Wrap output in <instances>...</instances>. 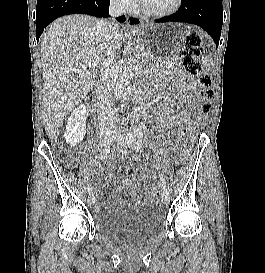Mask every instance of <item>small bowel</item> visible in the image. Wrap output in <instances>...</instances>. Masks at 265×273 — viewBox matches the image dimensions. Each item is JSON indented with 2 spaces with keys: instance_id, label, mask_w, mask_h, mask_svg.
<instances>
[{
  "instance_id": "c3829d8e",
  "label": "small bowel",
  "mask_w": 265,
  "mask_h": 273,
  "mask_svg": "<svg viewBox=\"0 0 265 273\" xmlns=\"http://www.w3.org/2000/svg\"><path fill=\"white\" fill-rule=\"evenodd\" d=\"M162 122L169 128H175L180 123L179 120H177V119H173V120L169 121L168 123H165L163 120H162ZM114 164H115V161L113 159H107L104 161L103 166L97 167L96 171L99 174L103 173L104 168H106L108 171H110L113 168ZM126 184L131 186L134 195H136L137 188H138V183H137L136 178L134 177V178L130 179L128 182H126ZM96 208L99 209L100 205L97 204Z\"/></svg>"
}]
</instances>
